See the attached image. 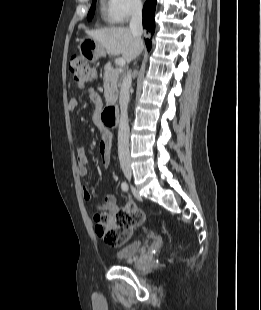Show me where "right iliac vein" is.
Listing matches in <instances>:
<instances>
[{
	"mask_svg": "<svg viewBox=\"0 0 261 310\" xmlns=\"http://www.w3.org/2000/svg\"><path fill=\"white\" fill-rule=\"evenodd\" d=\"M123 172H124L125 177H126L128 180H131V178H132V171H131V169H129V168H124Z\"/></svg>",
	"mask_w": 261,
	"mask_h": 310,
	"instance_id": "1",
	"label": "right iliac vein"
}]
</instances>
